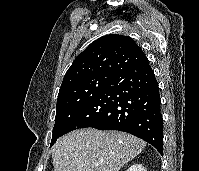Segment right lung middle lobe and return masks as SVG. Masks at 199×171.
Masks as SVG:
<instances>
[{"label": "right lung middle lobe", "mask_w": 199, "mask_h": 171, "mask_svg": "<svg viewBox=\"0 0 199 171\" xmlns=\"http://www.w3.org/2000/svg\"><path fill=\"white\" fill-rule=\"evenodd\" d=\"M113 78V75H97L58 96L51 146L62 136L79 109Z\"/></svg>", "instance_id": "dd1d6c3e"}]
</instances>
